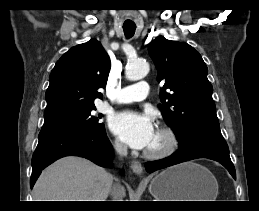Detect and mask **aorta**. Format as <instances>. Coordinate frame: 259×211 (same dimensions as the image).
Returning <instances> with one entry per match:
<instances>
[{
    "mask_svg": "<svg viewBox=\"0 0 259 211\" xmlns=\"http://www.w3.org/2000/svg\"><path fill=\"white\" fill-rule=\"evenodd\" d=\"M149 72V64L143 60L128 63L126 67V77L129 80L137 81L144 78Z\"/></svg>",
    "mask_w": 259,
    "mask_h": 211,
    "instance_id": "762f6f07",
    "label": "aorta"
}]
</instances>
